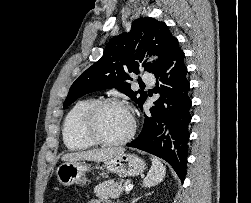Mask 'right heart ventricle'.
<instances>
[{
    "label": "right heart ventricle",
    "instance_id": "1",
    "mask_svg": "<svg viewBox=\"0 0 251 203\" xmlns=\"http://www.w3.org/2000/svg\"><path fill=\"white\" fill-rule=\"evenodd\" d=\"M93 102L92 98L79 100L67 112L62 125V136L68 149L86 150L95 144L83 134L81 128L84 112Z\"/></svg>",
    "mask_w": 251,
    "mask_h": 203
}]
</instances>
